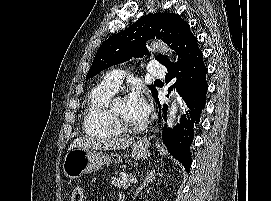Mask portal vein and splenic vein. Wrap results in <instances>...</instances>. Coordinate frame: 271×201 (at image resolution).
I'll return each mask as SVG.
<instances>
[{
  "label": "portal vein and splenic vein",
  "mask_w": 271,
  "mask_h": 201,
  "mask_svg": "<svg viewBox=\"0 0 271 201\" xmlns=\"http://www.w3.org/2000/svg\"><path fill=\"white\" fill-rule=\"evenodd\" d=\"M129 182H130V183H137L138 180H137L136 178H131V179L129 180Z\"/></svg>",
  "instance_id": "18ae733b"
}]
</instances>
